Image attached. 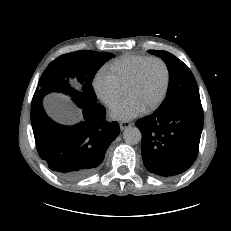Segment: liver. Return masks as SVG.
I'll return each mask as SVG.
<instances>
[{
    "mask_svg": "<svg viewBox=\"0 0 231 231\" xmlns=\"http://www.w3.org/2000/svg\"><path fill=\"white\" fill-rule=\"evenodd\" d=\"M49 111L52 115L58 118H64V109L59 105V103L55 100H50L48 103Z\"/></svg>",
    "mask_w": 231,
    "mask_h": 231,
    "instance_id": "liver-1",
    "label": "liver"
}]
</instances>
